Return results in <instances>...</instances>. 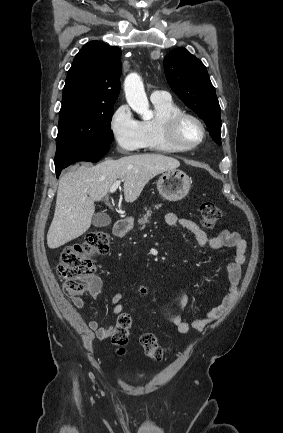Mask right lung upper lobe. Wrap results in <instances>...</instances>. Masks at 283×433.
I'll use <instances>...</instances> for the list:
<instances>
[{
    "label": "right lung upper lobe",
    "instance_id": "obj_1",
    "mask_svg": "<svg viewBox=\"0 0 283 433\" xmlns=\"http://www.w3.org/2000/svg\"><path fill=\"white\" fill-rule=\"evenodd\" d=\"M121 50L90 41L76 55L63 89L61 109L95 103H114L120 91Z\"/></svg>",
    "mask_w": 283,
    "mask_h": 433
}]
</instances>
